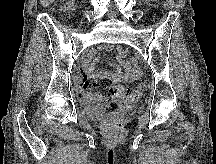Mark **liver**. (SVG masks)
I'll return each mask as SVG.
<instances>
[{
	"mask_svg": "<svg viewBox=\"0 0 216 164\" xmlns=\"http://www.w3.org/2000/svg\"><path fill=\"white\" fill-rule=\"evenodd\" d=\"M54 0H40V3L43 7H47L53 3Z\"/></svg>",
	"mask_w": 216,
	"mask_h": 164,
	"instance_id": "6515ba94",
	"label": "liver"
}]
</instances>
